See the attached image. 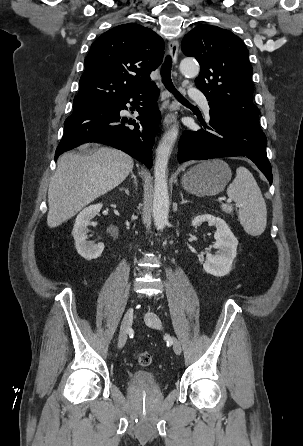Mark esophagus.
<instances>
[{
	"label": "esophagus",
	"instance_id": "1",
	"mask_svg": "<svg viewBox=\"0 0 303 446\" xmlns=\"http://www.w3.org/2000/svg\"><path fill=\"white\" fill-rule=\"evenodd\" d=\"M178 52H179V42L177 39H173L169 43V53L173 62V78L176 85H179L182 80V77L178 72V66H177ZM176 118H177V112L167 113L163 120L164 126L168 128L176 121Z\"/></svg>",
	"mask_w": 303,
	"mask_h": 446
}]
</instances>
